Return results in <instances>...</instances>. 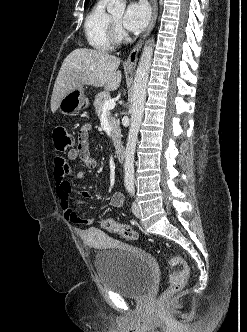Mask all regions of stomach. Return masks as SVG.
Returning <instances> with one entry per match:
<instances>
[{"instance_id": "stomach-1", "label": "stomach", "mask_w": 247, "mask_h": 332, "mask_svg": "<svg viewBox=\"0 0 247 332\" xmlns=\"http://www.w3.org/2000/svg\"><path fill=\"white\" fill-rule=\"evenodd\" d=\"M88 99L85 95L83 86L74 89L66 94L59 102V112L65 115H73L79 113L88 106Z\"/></svg>"}]
</instances>
